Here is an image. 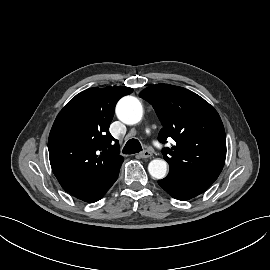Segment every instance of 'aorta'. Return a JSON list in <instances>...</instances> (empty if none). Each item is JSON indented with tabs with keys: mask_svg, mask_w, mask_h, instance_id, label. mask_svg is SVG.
Here are the masks:
<instances>
[{
	"mask_svg": "<svg viewBox=\"0 0 270 270\" xmlns=\"http://www.w3.org/2000/svg\"><path fill=\"white\" fill-rule=\"evenodd\" d=\"M116 114L123 123L133 125L142 119L143 108L137 98L125 96L118 102ZM148 171L153 178L163 179L167 173V163L162 159H154L149 163Z\"/></svg>",
	"mask_w": 270,
	"mask_h": 270,
	"instance_id": "aorta-1",
	"label": "aorta"
}]
</instances>
